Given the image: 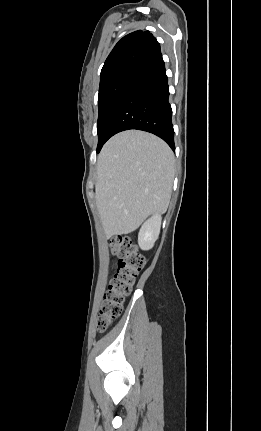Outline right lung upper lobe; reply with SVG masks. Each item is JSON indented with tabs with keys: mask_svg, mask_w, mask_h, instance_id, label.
Returning a JSON list of instances; mask_svg holds the SVG:
<instances>
[{
	"mask_svg": "<svg viewBox=\"0 0 261 431\" xmlns=\"http://www.w3.org/2000/svg\"><path fill=\"white\" fill-rule=\"evenodd\" d=\"M160 45L149 31H135L123 37L107 57L100 84L126 71H141L161 57Z\"/></svg>",
	"mask_w": 261,
	"mask_h": 431,
	"instance_id": "obj_1",
	"label": "right lung upper lobe"
}]
</instances>
